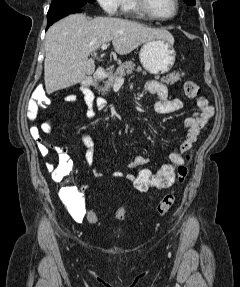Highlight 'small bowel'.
Here are the masks:
<instances>
[{"instance_id":"obj_1","label":"small bowel","mask_w":240,"mask_h":287,"mask_svg":"<svg viewBox=\"0 0 240 287\" xmlns=\"http://www.w3.org/2000/svg\"><path fill=\"white\" fill-rule=\"evenodd\" d=\"M145 89L150 94H153L157 97V101L154 104V111L156 114L165 115L175 112L183 107V102L179 98H170L168 96L167 87L155 80L148 81L145 84ZM83 94L85 101L88 106V116L93 115L94 103L99 109H104L107 105V102L104 98L98 97L94 100L93 93L88 89H83ZM64 100L68 103H76L78 98L75 94H69L65 96ZM197 111L188 116L184 121V126L186 130V137L180 146L176 149L178 153L183 154L186 151L190 150L192 145L196 142L198 135L202 128L207 124L208 120L214 114V108L209 105L206 98L196 99ZM39 106L30 101L27 108V118L31 121L35 120L37 117V111ZM55 125L54 119H49L43 122L40 126V129L37 127H32L30 129L31 136L36 141L40 154L43 157H48L50 155V150H54L58 158L64 159L71 164V160L68 154V147L66 146H51L46 143L40 136V130L44 133H51ZM82 142L85 145V161L88 166L92 167L94 165V142L91 138L82 133L81 135ZM148 147H146L143 154L134 156L130 161L126 163V167L129 169H137L139 167H145L149 164V158L147 155ZM94 177H102L103 172L93 169L92 170ZM114 178H126L128 181L132 182V174H125L122 171H114L112 173ZM83 187V188H82ZM86 188V185H81L80 189L70 188L63 194V203L71 215V217L78 223H82L86 217V206L83 197V190Z\"/></svg>"}]
</instances>
